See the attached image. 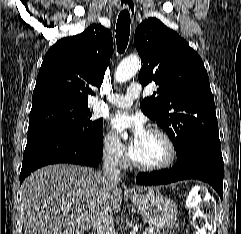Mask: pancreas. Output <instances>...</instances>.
Instances as JSON below:
<instances>
[{
	"mask_svg": "<svg viewBox=\"0 0 241 234\" xmlns=\"http://www.w3.org/2000/svg\"><path fill=\"white\" fill-rule=\"evenodd\" d=\"M147 234H149V233H147ZM151 234H168V233H166L165 231H163L161 229L153 228V232Z\"/></svg>",
	"mask_w": 241,
	"mask_h": 234,
	"instance_id": "pancreas-1",
	"label": "pancreas"
}]
</instances>
